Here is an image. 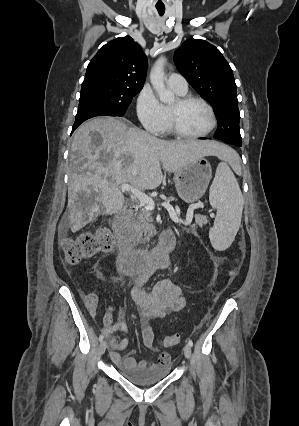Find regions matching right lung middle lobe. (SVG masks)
I'll use <instances>...</instances> for the list:
<instances>
[{
  "instance_id": "1",
  "label": "right lung middle lobe",
  "mask_w": 299,
  "mask_h": 426,
  "mask_svg": "<svg viewBox=\"0 0 299 426\" xmlns=\"http://www.w3.org/2000/svg\"><path fill=\"white\" fill-rule=\"evenodd\" d=\"M140 91L139 88H127L107 83L82 85L78 110L96 106L110 109L123 116L132 98Z\"/></svg>"
}]
</instances>
